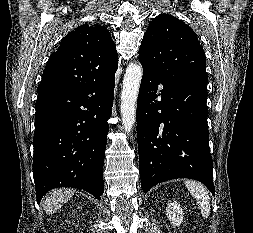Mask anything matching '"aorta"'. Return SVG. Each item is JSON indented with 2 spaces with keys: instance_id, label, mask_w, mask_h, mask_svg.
Masks as SVG:
<instances>
[{
  "instance_id": "1",
  "label": "aorta",
  "mask_w": 253,
  "mask_h": 233,
  "mask_svg": "<svg viewBox=\"0 0 253 233\" xmlns=\"http://www.w3.org/2000/svg\"><path fill=\"white\" fill-rule=\"evenodd\" d=\"M142 66L130 63L123 79L121 91V118L125 132L130 133L136 121V103L142 79Z\"/></svg>"
}]
</instances>
